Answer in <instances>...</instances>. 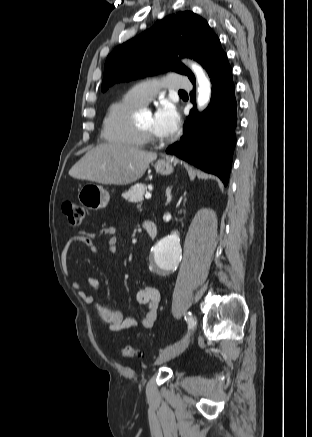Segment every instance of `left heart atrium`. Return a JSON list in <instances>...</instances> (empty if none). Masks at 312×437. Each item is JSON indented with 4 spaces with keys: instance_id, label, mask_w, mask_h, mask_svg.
Instances as JSON below:
<instances>
[{
    "instance_id": "1",
    "label": "left heart atrium",
    "mask_w": 312,
    "mask_h": 437,
    "mask_svg": "<svg viewBox=\"0 0 312 437\" xmlns=\"http://www.w3.org/2000/svg\"><path fill=\"white\" fill-rule=\"evenodd\" d=\"M180 118L175 106L169 102L163 103L153 116L155 132L161 137L173 135L179 126Z\"/></svg>"
}]
</instances>
